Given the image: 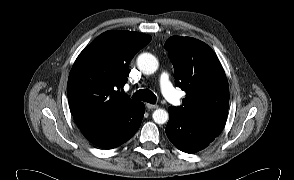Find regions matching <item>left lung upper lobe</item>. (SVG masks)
I'll list each match as a JSON object with an SVG mask.
<instances>
[{
    "mask_svg": "<svg viewBox=\"0 0 294 180\" xmlns=\"http://www.w3.org/2000/svg\"><path fill=\"white\" fill-rule=\"evenodd\" d=\"M174 67L175 83L186 92L183 105L173 107L193 119H225L229 86L214 51L190 37H170L164 45Z\"/></svg>",
    "mask_w": 294,
    "mask_h": 180,
    "instance_id": "1",
    "label": "left lung upper lobe"
}]
</instances>
